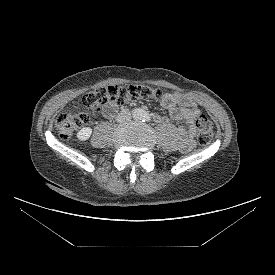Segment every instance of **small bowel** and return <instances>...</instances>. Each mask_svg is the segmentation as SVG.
<instances>
[{
	"label": "small bowel",
	"mask_w": 275,
	"mask_h": 275,
	"mask_svg": "<svg viewBox=\"0 0 275 275\" xmlns=\"http://www.w3.org/2000/svg\"><path fill=\"white\" fill-rule=\"evenodd\" d=\"M160 102L169 112L171 118L184 122V125L178 127L180 149L184 152L191 150L194 146L196 119L201 114L200 107L193 99L179 92L163 94ZM117 110L118 104L110 102L103 106L102 114L107 118H111L116 114Z\"/></svg>",
	"instance_id": "obj_1"
}]
</instances>
